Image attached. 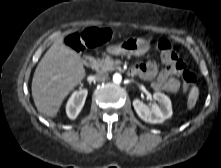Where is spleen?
<instances>
[{"label": "spleen", "instance_id": "spleen-1", "mask_svg": "<svg viewBox=\"0 0 221 168\" xmlns=\"http://www.w3.org/2000/svg\"><path fill=\"white\" fill-rule=\"evenodd\" d=\"M198 95H199V90L197 87H193L191 92H190V95H189V109L193 108L194 105H195V102L198 98Z\"/></svg>", "mask_w": 221, "mask_h": 168}]
</instances>
